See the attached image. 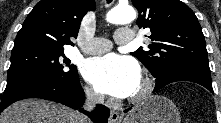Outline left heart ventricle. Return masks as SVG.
Masks as SVG:
<instances>
[{
    "label": "left heart ventricle",
    "instance_id": "1",
    "mask_svg": "<svg viewBox=\"0 0 221 123\" xmlns=\"http://www.w3.org/2000/svg\"><path fill=\"white\" fill-rule=\"evenodd\" d=\"M140 83H138L137 87L135 88L134 92L132 94H134L135 92H137V90L139 89Z\"/></svg>",
    "mask_w": 221,
    "mask_h": 123
}]
</instances>
